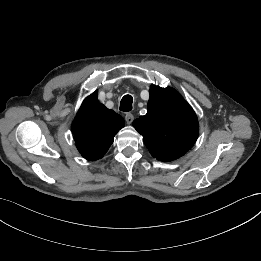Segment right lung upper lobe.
Wrapping results in <instances>:
<instances>
[{"label": "right lung upper lobe", "instance_id": "1", "mask_svg": "<svg viewBox=\"0 0 261 261\" xmlns=\"http://www.w3.org/2000/svg\"><path fill=\"white\" fill-rule=\"evenodd\" d=\"M123 126L124 119L99 103L97 94L93 93L80 107L72 123V131L82 156L88 160H97L104 156L115 134Z\"/></svg>", "mask_w": 261, "mask_h": 261}]
</instances>
